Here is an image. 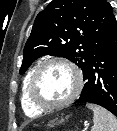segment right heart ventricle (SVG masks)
Masks as SVG:
<instances>
[{"label":"right heart ventricle","instance_id":"e07e8e85","mask_svg":"<svg viewBox=\"0 0 117 131\" xmlns=\"http://www.w3.org/2000/svg\"><path fill=\"white\" fill-rule=\"evenodd\" d=\"M33 70H30L26 76L24 77L23 81H22V86H21V93H20V100H21V105L23 108V111L26 115L28 116H38L42 113V110L36 108L28 95V83H29V79L31 76Z\"/></svg>","mask_w":117,"mask_h":131}]
</instances>
